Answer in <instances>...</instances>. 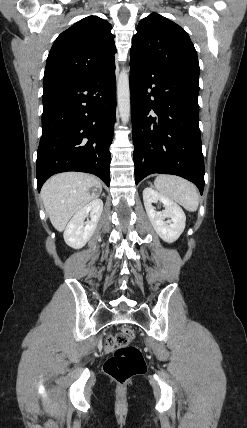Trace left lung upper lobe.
Listing matches in <instances>:
<instances>
[{"label":"left lung upper lobe","instance_id":"obj_1","mask_svg":"<svg viewBox=\"0 0 247 428\" xmlns=\"http://www.w3.org/2000/svg\"><path fill=\"white\" fill-rule=\"evenodd\" d=\"M130 57L149 63L181 83L199 88L197 52L189 35L176 23L152 13L142 19L132 39Z\"/></svg>","mask_w":247,"mask_h":428}]
</instances>
